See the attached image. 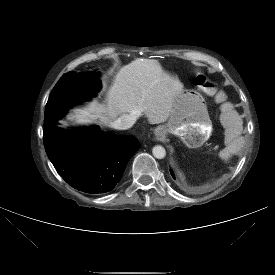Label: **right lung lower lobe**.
I'll list each match as a JSON object with an SVG mask.
<instances>
[{
    "label": "right lung lower lobe",
    "mask_w": 275,
    "mask_h": 275,
    "mask_svg": "<svg viewBox=\"0 0 275 275\" xmlns=\"http://www.w3.org/2000/svg\"><path fill=\"white\" fill-rule=\"evenodd\" d=\"M43 141L58 174L73 188L92 194L112 190L140 148L133 136L99 127L69 132L58 128L56 120L44 121Z\"/></svg>",
    "instance_id": "obj_1"
}]
</instances>
